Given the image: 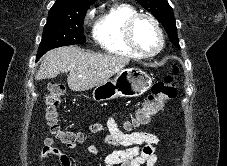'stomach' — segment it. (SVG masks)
Returning <instances> with one entry per match:
<instances>
[{
    "instance_id": "0dacf381",
    "label": "stomach",
    "mask_w": 227,
    "mask_h": 166,
    "mask_svg": "<svg viewBox=\"0 0 227 166\" xmlns=\"http://www.w3.org/2000/svg\"><path fill=\"white\" fill-rule=\"evenodd\" d=\"M151 77L138 68H125L114 79L94 88L92 97L95 101H107L117 97H139L151 87Z\"/></svg>"
}]
</instances>
